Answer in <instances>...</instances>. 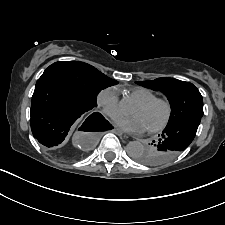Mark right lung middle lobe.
Here are the masks:
<instances>
[{"label": "right lung middle lobe", "mask_w": 225, "mask_h": 225, "mask_svg": "<svg viewBox=\"0 0 225 225\" xmlns=\"http://www.w3.org/2000/svg\"><path fill=\"white\" fill-rule=\"evenodd\" d=\"M41 77L58 79L76 91L93 108L97 106V94L117 84L95 67L79 61H59L50 65Z\"/></svg>", "instance_id": "dd1d6c3e"}]
</instances>
